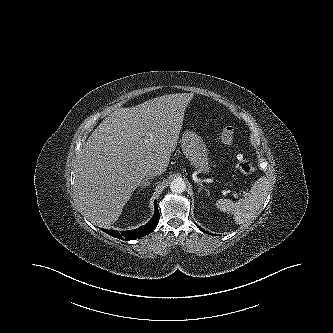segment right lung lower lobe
I'll return each mask as SVG.
<instances>
[{
  "mask_svg": "<svg viewBox=\"0 0 333 333\" xmlns=\"http://www.w3.org/2000/svg\"><path fill=\"white\" fill-rule=\"evenodd\" d=\"M154 207H155V213L153 218L145 225H143L142 227H139L135 230H130V231H121V232H117L114 230H106V229H102L105 233L119 238L121 240H133L136 238H140L143 237L149 233H151L157 226L158 222H159V211L157 208V203H154Z\"/></svg>",
  "mask_w": 333,
  "mask_h": 333,
  "instance_id": "obj_1",
  "label": "right lung lower lobe"
}]
</instances>
